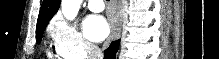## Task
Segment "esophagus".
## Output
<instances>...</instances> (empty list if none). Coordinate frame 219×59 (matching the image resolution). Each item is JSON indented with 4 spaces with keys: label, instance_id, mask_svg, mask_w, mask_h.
<instances>
[{
    "label": "esophagus",
    "instance_id": "obj_1",
    "mask_svg": "<svg viewBox=\"0 0 219 59\" xmlns=\"http://www.w3.org/2000/svg\"><path fill=\"white\" fill-rule=\"evenodd\" d=\"M117 2V1H116ZM118 8H120V6H118ZM121 34V27L120 24H117L111 27V33L106 41V44L112 42V41H116Z\"/></svg>",
    "mask_w": 219,
    "mask_h": 59
}]
</instances>
